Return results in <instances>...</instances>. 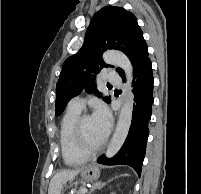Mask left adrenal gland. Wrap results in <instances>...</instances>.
Segmentation results:
<instances>
[{"mask_svg": "<svg viewBox=\"0 0 201 194\" xmlns=\"http://www.w3.org/2000/svg\"><path fill=\"white\" fill-rule=\"evenodd\" d=\"M106 185V182H101V181H98V182H96L94 185H93V187L91 188V190H90V193L89 194H91L93 191H95L96 189H101L103 186H105Z\"/></svg>", "mask_w": 201, "mask_h": 194, "instance_id": "a2214340", "label": "left adrenal gland"}]
</instances>
